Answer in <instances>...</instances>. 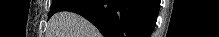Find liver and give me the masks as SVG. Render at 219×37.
<instances>
[{
    "instance_id": "6515ba94",
    "label": "liver",
    "mask_w": 219,
    "mask_h": 37,
    "mask_svg": "<svg viewBox=\"0 0 219 37\" xmlns=\"http://www.w3.org/2000/svg\"><path fill=\"white\" fill-rule=\"evenodd\" d=\"M49 33L52 37H98L96 28L82 16L63 11L49 20Z\"/></svg>"
}]
</instances>
